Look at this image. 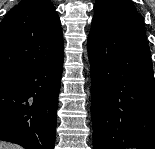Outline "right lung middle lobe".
Here are the masks:
<instances>
[{
  "label": "right lung middle lobe",
  "instance_id": "1",
  "mask_svg": "<svg viewBox=\"0 0 155 149\" xmlns=\"http://www.w3.org/2000/svg\"><path fill=\"white\" fill-rule=\"evenodd\" d=\"M17 74L14 73H0V85L13 81L16 78Z\"/></svg>",
  "mask_w": 155,
  "mask_h": 149
}]
</instances>
